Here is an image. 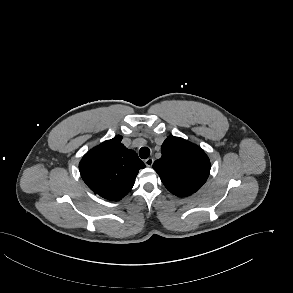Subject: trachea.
<instances>
[{
    "label": "trachea",
    "instance_id": "trachea-1",
    "mask_svg": "<svg viewBox=\"0 0 293 293\" xmlns=\"http://www.w3.org/2000/svg\"><path fill=\"white\" fill-rule=\"evenodd\" d=\"M150 155V149L148 147H142L139 151V156L142 158V159H146L148 158Z\"/></svg>",
    "mask_w": 293,
    "mask_h": 293
}]
</instances>
